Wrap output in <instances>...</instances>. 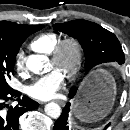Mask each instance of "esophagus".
<instances>
[{
  "label": "esophagus",
  "instance_id": "34e87169",
  "mask_svg": "<svg viewBox=\"0 0 130 130\" xmlns=\"http://www.w3.org/2000/svg\"><path fill=\"white\" fill-rule=\"evenodd\" d=\"M56 103L60 104V105H64V101L63 100H60V99H56L54 100ZM43 103V102H41Z\"/></svg>",
  "mask_w": 130,
  "mask_h": 130
}]
</instances>
